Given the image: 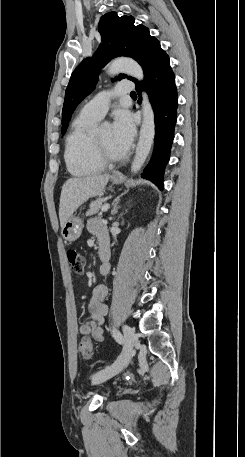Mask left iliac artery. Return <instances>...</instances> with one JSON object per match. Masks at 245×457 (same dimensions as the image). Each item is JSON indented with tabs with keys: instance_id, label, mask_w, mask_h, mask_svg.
I'll use <instances>...</instances> for the list:
<instances>
[{
	"instance_id": "left-iliac-artery-1",
	"label": "left iliac artery",
	"mask_w": 245,
	"mask_h": 457,
	"mask_svg": "<svg viewBox=\"0 0 245 457\" xmlns=\"http://www.w3.org/2000/svg\"><path fill=\"white\" fill-rule=\"evenodd\" d=\"M112 333H113V337L114 339L119 343V344H122L123 343V336L121 335V333L119 331H117L114 327L112 329Z\"/></svg>"
}]
</instances>
